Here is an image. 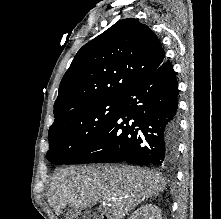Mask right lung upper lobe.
I'll return each instance as SVG.
<instances>
[{
  "label": "right lung upper lobe",
  "instance_id": "obj_1",
  "mask_svg": "<svg viewBox=\"0 0 221 219\" xmlns=\"http://www.w3.org/2000/svg\"><path fill=\"white\" fill-rule=\"evenodd\" d=\"M164 61L162 45L147 25L134 18L118 21L74 57L59 86L55 119L91 101L122 98Z\"/></svg>",
  "mask_w": 221,
  "mask_h": 219
}]
</instances>
